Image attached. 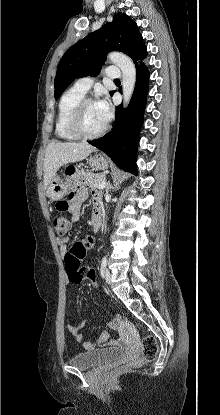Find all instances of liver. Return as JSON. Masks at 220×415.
Wrapping results in <instances>:
<instances>
[{"instance_id": "obj_1", "label": "liver", "mask_w": 220, "mask_h": 415, "mask_svg": "<svg viewBox=\"0 0 220 415\" xmlns=\"http://www.w3.org/2000/svg\"><path fill=\"white\" fill-rule=\"evenodd\" d=\"M95 151L96 148L88 143L51 142L46 148L44 159L45 190L61 166L81 161Z\"/></svg>"}]
</instances>
